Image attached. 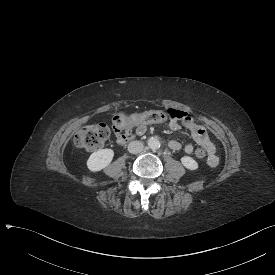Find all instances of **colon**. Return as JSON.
Masks as SVG:
<instances>
[{"label":"colon","mask_w":275,"mask_h":275,"mask_svg":"<svg viewBox=\"0 0 275 275\" xmlns=\"http://www.w3.org/2000/svg\"><path fill=\"white\" fill-rule=\"evenodd\" d=\"M168 115L165 111L137 112L135 114L117 115L110 122L113 131H123L126 126L141 123H166ZM111 131L106 124L98 123L83 127L76 135V145L87 151L99 150L109 139ZM198 158H204L206 152L202 148L195 150Z\"/></svg>","instance_id":"5ec220e1"}]
</instances>
